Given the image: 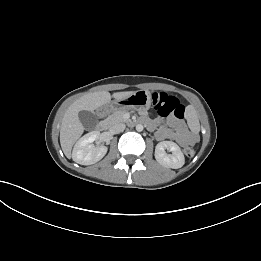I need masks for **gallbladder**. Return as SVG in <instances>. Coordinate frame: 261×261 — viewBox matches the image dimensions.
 <instances>
[{"label": "gallbladder", "instance_id": "1", "mask_svg": "<svg viewBox=\"0 0 261 261\" xmlns=\"http://www.w3.org/2000/svg\"><path fill=\"white\" fill-rule=\"evenodd\" d=\"M78 116H79V120L81 121L85 129L88 130L95 129L98 123V119L93 112L83 110L79 112Z\"/></svg>", "mask_w": 261, "mask_h": 261}]
</instances>
